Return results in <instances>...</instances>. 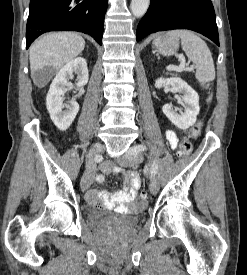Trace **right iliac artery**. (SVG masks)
I'll return each instance as SVG.
<instances>
[{
    "label": "right iliac artery",
    "instance_id": "obj_1",
    "mask_svg": "<svg viewBox=\"0 0 247 275\" xmlns=\"http://www.w3.org/2000/svg\"><path fill=\"white\" fill-rule=\"evenodd\" d=\"M95 157H96L95 160H96L97 162H102V161H103V158H102L101 154H96ZM96 180H97L98 182H102V181L104 180V177H103L102 175H98V176L96 177Z\"/></svg>",
    "mask_w": 247,
    "mask_h": 275
}]
</instances>
